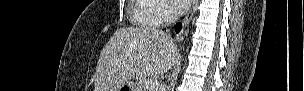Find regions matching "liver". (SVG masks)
<instances>
[{"instance_id": "6515ba94", "label": "liver", "mask_w": 304, "mask_h": 91, "mask_svg": "<svg viewBox=\"0 0 304 91\" xmlns=\"http://www.w3.org/2000/svg\"><path fill=\"white\" fill-rule=\"evenodd\" d=\"M177 56V45L162 30L117 29L99 56L94 91H119L134 77L160 76L174 65Z\"/></svg>"}]
</instances>
